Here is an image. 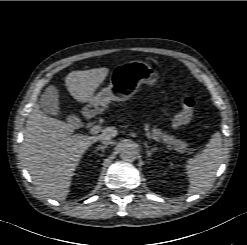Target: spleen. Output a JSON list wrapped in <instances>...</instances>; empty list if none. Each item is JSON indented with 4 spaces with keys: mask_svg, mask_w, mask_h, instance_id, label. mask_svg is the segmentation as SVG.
Returning a JSON list of instances; mask_svg holds the SVG:
<instances>
[{
    "mask_svg": "<svg viewBox=\"0 0 247 245\" xmlns=\"http://www.w3.org/2000/svg\"><path fill=\"white\" fill-rule=\"evenodd\" d=\"M221 158L222 138L220 132H216L202 153L187 160L185 167L190 182L189 195L200 192L212 183L220 166Z\"/></svg>",
    "mask_w": 247,
    "mask_h": 245,
    "instance_id": "spleen-1",
    "label": "spleen"
}]
</instances>
